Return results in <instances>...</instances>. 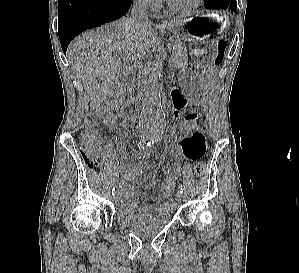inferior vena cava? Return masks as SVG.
<instances>
[{
	"mask_svg": "<svg viewBox=\"0 0 299 273\" xmlns=\"http://www.w3.org/2000/svg\"><path fill=\"white\" fill-rule=\"evenodd\" d=\"M133 21L138 23H149L148 15H147V2L146 0H136L133 3V7L131 9V17Z\"/></svg>",
	"mask_w": 299,
	"mask_h": 273,
	"instance_id": "inferior-vena-cava-1",
	"label": "inferior vena cava"
}]
</instances>
